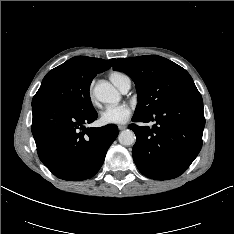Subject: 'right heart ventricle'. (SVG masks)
Segmentation results:
<instances>
[{
    "label": "right heart ventricle",
    "instance_id": "right-heart-ventricle-1",
    "mask_svg": "<svg viewBox=\"0 0 234 234\" xmlns=\"http://www.w3.org/2000/svg\"><path fill=\"white\" fill-rule=\"evenodd\" d=\"M111 82L120 90L128 83H131L130 78L123 72L114 71L110 73Z\"/></svg>",
    "mask_w": 234,
    "mask_h": 234
}]
</instances>
